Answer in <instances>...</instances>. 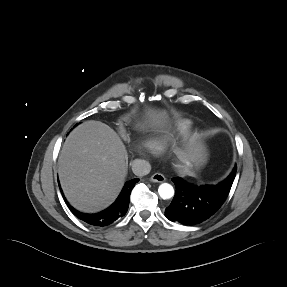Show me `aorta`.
I'll use <instances>...</instances> for the list:
<instances>
[{"label":"aorta","mask_w":287,"mask_h":287,"mask_svg":"<svg viewBox=\"0 0 287 287\" xmlns=\"http://www.w3.org/2000/svg\"><path fill=\"white\" fill-rule=\"evenodd\" d=\"M158 193L162 199H170L174 196V189L168 183H162L158 188Z\"/></svg>","instance_id":"1"}]
</instances>
